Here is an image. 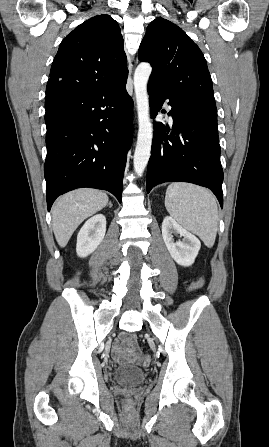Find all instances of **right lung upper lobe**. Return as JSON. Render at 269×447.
<instances>
[{"mask_svg": "<svg viewBox=\"0 0 269 447\" xmlns=\"http://www.w3.org/2000/svg\"><path fill=\"white\" fill-rule=\"evenodd\" d=\"M123 37L109 15L95 16L67 35L52 63L46 96L92 90L128 75Z\"/></svg>", "mask_w": 269, "mask_h": 447, "instance_id": "right-lung-upper-lobe-1", "label": "right lung upper lobe"}]
</instances>
